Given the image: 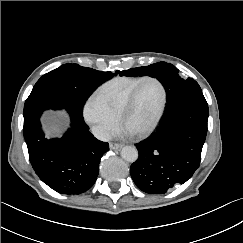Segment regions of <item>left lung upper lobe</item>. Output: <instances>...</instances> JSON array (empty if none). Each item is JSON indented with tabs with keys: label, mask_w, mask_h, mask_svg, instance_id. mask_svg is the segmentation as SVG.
Returning a JSON list of instances; mask_svg holds the SVG:
<instances>
[{
	"label": "left lung upper lobe",
	"mask_w": 243,
	"mask_h": 243,
	"mask_svg": "<svg viewBox=\"0 0 243 243\" xmlns=\"http://www.w3.org/2000/svg\"><path fill=\"white\" fill-rule=\"evenodd\" d=\"M121 76H144L157 78L164 86L167 97L166 109L183 98L202 92L198 83L192 78L183 79L179 70L172 64L158 62L149 66L132 68L120 72Z\"/></svg>",
	"instance_id": "left-lung-upper-lobe-1"
}]
</instances>
